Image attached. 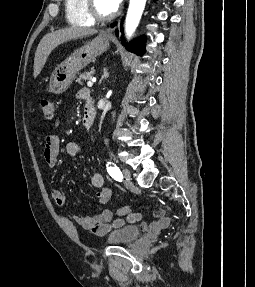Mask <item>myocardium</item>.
<instances>
[{
    "label": "myocardium",
    "instance_id": "f54148a6",
    "mask_svg": "<svg viewBox=\"0 0 255 287\" xmlns=\"http://www.w3.org/2000/svg\"><path fill=\"white\" fill-rule=\"evenodd\" d=\"M95 33H101V32H95ZM107 33H113V32H107ZM123 33V32H119ZM95 39H114V38H95ZM125 39H131V38H125ZM95 48H113V47H95ZM130 48H139V47H130Z\"/></svg>",
    "mask_w": 255,
    "mask_h": 287
}]
</instances>
